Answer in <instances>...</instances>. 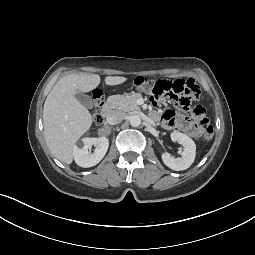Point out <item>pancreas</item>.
Here are the masks:
<instances>
[{
  "mask_svg": "<svg viewBox=\"0 0 255 255\" xmlns=\"http://www.w3.org/2000/svg\"><path fill=\"white\" fill-rule=\"evenodd\" d=\"M141 97L142 95L139 93L113 95L108 98V102L115 109H119L124 112H130L140 109L136 101Z\"/></svg>",
  "mask_w": 255,
  "mask_h": 255,
  "instance_id": "1",
  "label": "pancreas"
}]
</instances>
